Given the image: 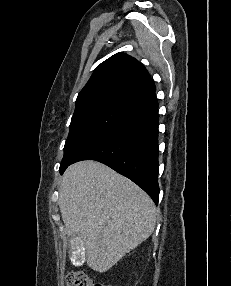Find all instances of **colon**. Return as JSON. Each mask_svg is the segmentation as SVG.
<instances>
[{
  "label": "colon",
  "mask_w": 231,
  "mask_h": 286,
  "mask_svg": "<svg viewBox=\"0 0 231 286\" xmlns=\"http://www.w3.org/2000/svg\"><path fill=\"white\" fill-rule=\"evenodd\" d=\"M66 286H112L106 285L92 279L83 271H72L66 277Z\"/></svg>",
  "instance_id": "5ec220e1"
}]
</instances>
